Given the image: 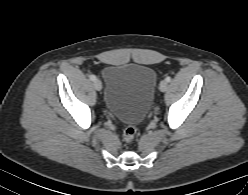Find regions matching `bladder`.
Returning a JSON list of instances; mask_svg holds the SVG:
<instances>
[{"label":"bladder","mask_w":248,"mask_h":195,"mask_svg":"<svg viewBox=\"0 0 248 195\" xmlns=\"http://www.w3.org/2000/svg\"><path fill=\"white\" fill-rule=\"evenodd\" d=\"M104 105L129 125L143 120L153 101L156 72L142 64H112L103 70Z\"/></svg>","instance_id":"1"}]
</instances>
